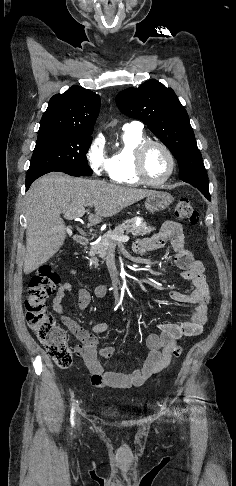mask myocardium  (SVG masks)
Segmentation results:
<instances>
[{
	"mask_svg": "<svg viewBox=\"0 0 236 486\" xmlns=\"http://www.w3.org/2000/svg\"><path fill=\"white\" fill-rule=\"evenodd\" d=\"M151 146H158L160 147L167 155L169 159V170L167 174L160 180H151L148 178L144 168V157L146 151ZM176 168V160L174 157L173 152L171 149L161 141L158 140H145L140 143L135 151H134V170L137 178L140 180L141 183L149 185V186H160L165 184L174 174Z\"/></svg>",
	"mask_w": 236,
	"mask_h": 486,
	"instance_id": "f54148a6",
	"label": "myocardium"
}]
</instances>
